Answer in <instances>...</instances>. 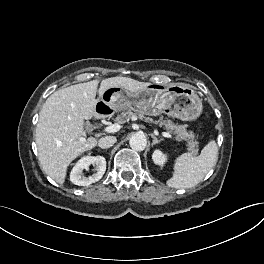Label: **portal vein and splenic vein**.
<instances>
[{
  "label": "portal vein and splenic vein",
  "instance_id": "18ae733b",
  "mask_svg": "<svg viewBox=\"0 0 264 264\" xmlns=\"http://www.w3.org/2000/svg\"><path fill=\"white\" fill-rule=\"evenodd\" d=\"M120 129H121V125L116 123V124H112L110 126L105 127L104 131L107 133H114V132L119 131ZM162 135L166 138H170V139L173 138V136L169 134L168 132H162Z\"/></svg>",
  "mask_w": 264,
  "mask_h": 264
}]
</instances>
